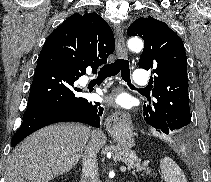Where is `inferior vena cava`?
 Wrapping results in <instances>:
<instances>
[{
    "mask_svg": "<svg viewBox=\"0 0 211 182\" xmlns=\"http://www.w3.org/2000/svg\"><path fill=\"white\" fill-rule=\"evenodd\" d=\"M97 151L92 141L86 146L82 162V182H97Z\"/></svg>",
    "mask_w": 211,
    "mask_h": 182,
    "instance_id": "602c4592",
    "label": "inferior vena cava"
}]
</instances>
